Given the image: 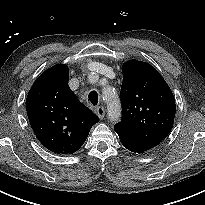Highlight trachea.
<instances>
[{
    "label": "trachea",
    "mask_w": 205,
    "mask_h": 205,
    "mask_svg": "<svg viewBox=\"0 0 205 205\" xmlns=\"http://www.w3.org/2000/svg\"><path fill=\"white\" fill-rule=\"evenodd\" d=\"M89 101L93 104V105H97L98 103V93L96 91H91L88 95Z\"/></svg>",
    "instance_id": "1"
}]
</instances>
